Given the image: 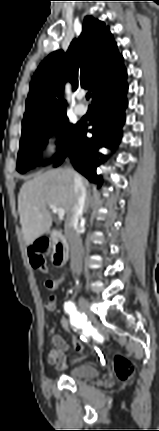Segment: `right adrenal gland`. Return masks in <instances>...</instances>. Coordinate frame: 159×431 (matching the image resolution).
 Wrapping results in <instances>:
<instances>
[{
    "instance_id": "right-adrenal-gland-1",
    "label": "right adrenal gland",
    "mask_w": 159,
    "mask_h": 431,
    "mask_svg": "<svg viewBox=\"0 0 159 431\" xmlns=\"http://www.w3.org/2000/svg\"><path fill=\"white\" fill-rule=\"evenodd\" d=\"M90 200H91V192L89 191L87 193V197H86V204H85V208H84L85 213L87 212V210L89 208Z\"/></svg>"
}]
</instances>
